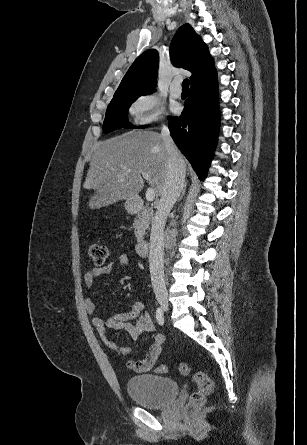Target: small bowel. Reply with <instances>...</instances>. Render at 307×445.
Masks as SVG:
<instances>
[{
  "label": "small bowel",
  "instance_id": "obj_1",
  "mask_svg": "<svg viewBox=\"0 0 307 445\" xmlns=\"http://www.w3.org/2000/svg\"><path fill=\"white\" fill-rule=\"evenodd\" d=\"M128 264L129 256L125 253L119 254L107 265L89 269L84 276L85 284L90 288L99 276L109 274L116 266H126ZM85 307L89 314H96L97 304L93 299H86ZM143 310V303L141 301H135L129 309L111 317L103 318L95 315L92 319L94 327L97 329L105 344L121 355L122 358L126 360L128 367L137 373L147 372L153 368L161 353L164 342L163 335L156 334L153 336L145 358L130 360L128 358L131 355V349L127 346H119L115 341L109 339L106 333L108 330H124L133 339H137L143 333L153 332L155 330L154 322L150 315Z\"/></svg>",
  "mask_w": 307,
  "mask_h": 445
}]
</instances>
